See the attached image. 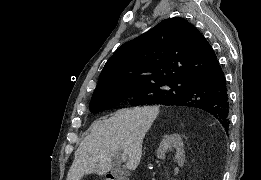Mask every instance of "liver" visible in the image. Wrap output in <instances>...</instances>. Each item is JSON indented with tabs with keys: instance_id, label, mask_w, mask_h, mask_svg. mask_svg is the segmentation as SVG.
Instances as JSON below:
<instances>
[{
	"instance_id": "liver-1",
	"label": "liver",
	"mask_w": 261,
	"mask_h": 180,
	"mask_svg": "<svg viewBox=\"0 0 261 180\" xmlns=\"http://www.w3.org/2000/svg\"><path fill=\"white\" fill-rule=\"evenodd\" d=\"M158 114V106L123 108L111 118L93 122L89 136H85L76 150L68 180H82L87 174L105 176L113 164L119 162L120 152L127 154L128 170H136L142 156V144Z\"/></svg>"
}]
</instances>
